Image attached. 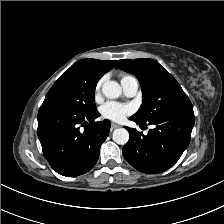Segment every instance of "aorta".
Segmentation results:
<instances>
[{"label": "aorta", "mask_w": 224, "mask_h": 224, "mask_svg": "<svg viewBox=\"0 0 224 224\" xmlns=\"http://www.w3.org/2000/svg\"><path fill=\"white\" fill-rule=\"evenodd\" d=\"M102 92L109 99L118 98L122 89L115 81H107L102 86ZM112 139L119 145H125L129 140V132L125 128H118L113 131Z\"/></svg>", "instance_id": "obj_1"}]
</instances>
